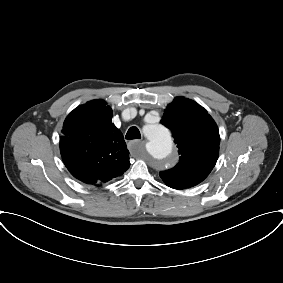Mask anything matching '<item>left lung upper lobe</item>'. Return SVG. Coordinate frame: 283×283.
<instances>
[{"label":"left lung upper lobe","instance_id":"obj_1","mask_svg":"<svg viewBox=\"0 0 283 283\" xmlns=\"http://www.w3.org/2000/svg\"><path fill=\"white\" fill-rule=\"evenodd\" d=\"M161 123L172 131L181 155L174 168L160 172L165 184L180 190L203 181L219 153L220 136L212 117L196 102L177 97L165 110Z\"/></svg>","mask_w":283,"mask_h":283}]
</instances>
